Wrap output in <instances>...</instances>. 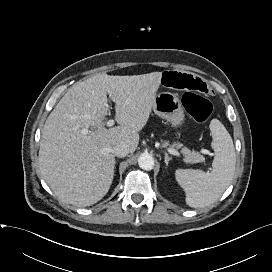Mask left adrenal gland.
I'll use <instances>...</instances> for the list:
<instances>
[{"mask_svg":"<svg viewBox=\"0 0 272 272\" xmlns=\"http://www.w3.org/2000/svg\"><path fill=\"white\" fill-rule=\"evenodd\" d=\"M170 160H171V158L168 156L167 153H165V164H166V166H168V163H169Z\"/></svg>","mask_w":272,"mask_h":272,"instance_id":"a2214340","label":"left adrenal gland"}]
</instances>
